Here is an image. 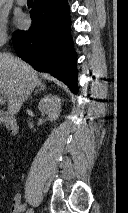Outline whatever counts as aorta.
I'll list each match as a JSON object with an SVG mask.
<instances>
[{
    "instance_id": "1",
    "label": "aorta",
    "mask_w": 128,
    "mask_h": 213,
    "mask_svg": "<svg viewBox=\"0 0 128 213\" xmlns=\"http://www.w3.org/2000/svg\"><path fill=\"white\" fill-rule=\"evenodd\" d=\"M5 0H0V5L4 3Z\"/></svg>"
}]
</instances>
